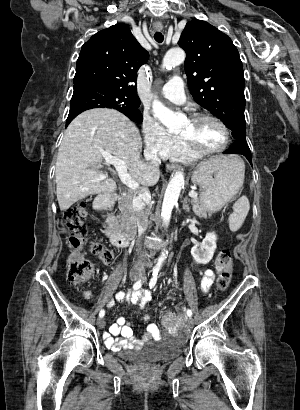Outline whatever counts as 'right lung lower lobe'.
<instances>
[{
	"instance_id": "98d812e1",
	"label": "right lung lower lobe",
	"mask_w": 300,
	"mask_h": 410,
	"mask_svg": "<svg viewBox=\"0 0 300 410\" xmlns=\"http://www.w3.org/2000/svg\"><path fill=\"white\" fill-rule=\"evenodd\" d=\"M71 121H72V119L67 120L66 125H68Z\"/></svg>"
}]
</instances>
